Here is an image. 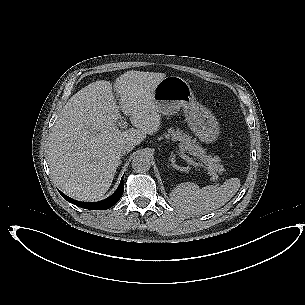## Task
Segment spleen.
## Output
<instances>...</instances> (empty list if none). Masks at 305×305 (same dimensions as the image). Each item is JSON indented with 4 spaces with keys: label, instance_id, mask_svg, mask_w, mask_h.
I'll return each mask as SVG.
<instances>
[{
    "label": "spleen",
    "instance_id": "3e777b00",
    "mask_svg": "<svg viewBox=\"0 0 305 305\" xmlns=\"http://www.w3.org/2000/svg\"><path fill=\"white\" fill-rule=\"evenodd\" d=\"M232 181L233 179H229L220 186L210 185L203 188L191 182L182 183L171 191L170 200L174 206L187 213H208L230 200L233 196L229 190Z\"/></svg>",
    "mask_w": 305,
    "mask_h": 305
}]
</instances>
